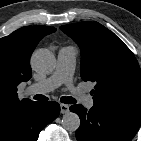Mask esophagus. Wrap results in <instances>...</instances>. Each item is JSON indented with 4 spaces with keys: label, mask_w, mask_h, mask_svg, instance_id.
I'll return each mask as SVG.
<instances>
[{
    "label": "esophagus",
    "mask_w": 141,
    "mask_h": 141,
    "mask_svg": "<svg viewBox=\"0 0 141 141\" xmlns=\"http://www.w3.org/2000/svg\"><path fill=\"white\" fill-rule=\"evenodd\" d=\"M60 110L62 114H65L69 111V105L67 104H60Z\"/></svg>",
    "instance_id": "34e87169"
}]
</instances>
